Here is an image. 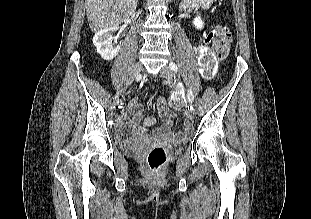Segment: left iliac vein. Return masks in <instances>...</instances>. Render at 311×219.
<instances>
[{
    "label": "left iliac vein",
    "instance_id": "1",
    "mask_svg": "<svg viewBox=\"0 0 311 219\" xmlns=\"http://www.w3.org/2000/svg\"><path fill=\"white\" fill-rule=\"evenodd\" d=\"M160 73L169 84L172 82L173 74L170 67H168L167 65L163 66ZM189 110L192 115H195V108L191 103L189 105Z\"/></svg>",
    "mask_w": 311,
    "mask_h": 219
}]
</instances>
